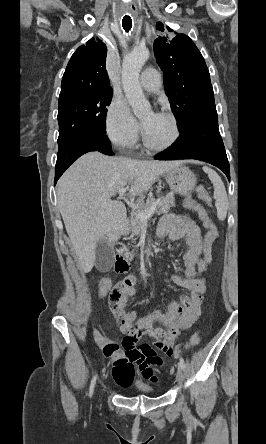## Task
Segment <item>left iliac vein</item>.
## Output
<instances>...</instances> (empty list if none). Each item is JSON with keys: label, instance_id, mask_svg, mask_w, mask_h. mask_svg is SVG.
<instances>
[{"label": "left iliac vein", "instance_id": "1", "mask_svg": "<svg viewBox=\"0 0 266 444\" xmlns=\"http://www.w3.org/2000/svg\"><path fill=\"white\" fill-rule=\"evenodd\" d=\"M176 381L177 383L181 386L183 384L184 381V371L181 368V366H179L177 372H176Z\"/></svg>", "mask_w": 266, "mask_h": 444}]
</instances>
